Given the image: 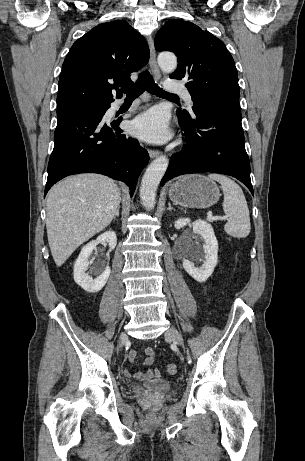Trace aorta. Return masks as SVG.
Listing matches in <instances>:
<instances>
[{"instance_id": "762f6f07", "label": "aorta", "mask_w": 305, "mask_h": 461, "mask_svg": "<svg viewBox=\"0 0 305 461\" xmlns=\"http://www.w3.org/2000/svg\"><path fill=\"white\" fill-rule=\"evenodd\" d=\"M158 64L164 72H172L177 67V58L172 53H162L158 56ZM169 160L166 156L156 158L146 169L141 186L140 199L142 205L151 210L155 206L158 185L168 168Z\"/></svg>"}]
</instances>
